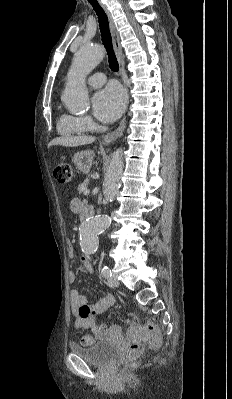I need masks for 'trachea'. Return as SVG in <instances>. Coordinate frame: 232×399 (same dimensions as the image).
<instances>
[{
  "mask_svg": "<svg viewBox=\"0 0 232 399\" xmlns=\"http://www.w3.org/2000/svg\"><path fill=\"white\" fill-rule=\"evenodd\" d=\"M88 2L92 5V7L94 8V10L98 16L102 42L107 51V55H108V59H109V66H110L111 70H113L114 72H118L119 65H118V61H117L116 56L113 51L111 35H110V31H109L108 17L106 15V13L104 12L103 8L97 2V0H88Z\"/></svg>",
  "mask_w": 232,
  "mask_h": 399,
  "instance_id": "trachea-1",
  "label": "trachea"
}]
</instances>
